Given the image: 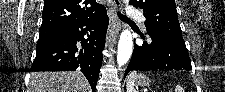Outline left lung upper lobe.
Masks as SVG:
<instances>
[{
  "mask_svg": "<svg viewBox=\"0 0 225 92\" xmlns=\"http://www.w3.org/2000/svg\"><path fill=\"white\" fill-rule=\"evenodd\" d=\"M129 4L143 9L147 31H164L182 38L175 0H130Z\"/></svg>",
  "mask_w": 225,
  "mask_h": 92,
  "instance_id": "5c2ea615",
  "label": "left lung upper lobe"
}]
</instances>
